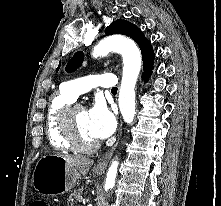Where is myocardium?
<instances>
[{
    "instance_id": "obj_1",
    "label": "myocardium",
    "mask_w": 221,
    "mask_h": 206,
    "mask_svg": "<svg viewBox=\"0 0 221 206\" xmlns=\"http://www.w3.org/2000/svg\"><path fill=\"white\" fill-rule=\"evenodd\" d=\"M78 109L85 110L84 107L78 103L69 104L63 109L60 118L61 128L74 150L90 153L99 147V142L95 140L87 143L80 136L74 119V113Z\"/></svg>"
}]
</instances>
